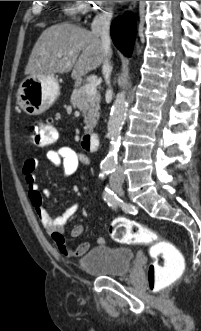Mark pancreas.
Here are the masks:
<instances>
[{
  "label": "pancreas",
  "instance_id": "1",
  "mask_svg": "<svg viewBox=\"0 0 201 331\" xmlns=\"http://www.w3.org/2000/svg\"><path fill=\"white\" fill-rule=\"evenodd\" d=\"M71 103L83 113L85 131L92 130L100 116V95L98 93L87 95L84 86H79L71 95Z\"/></svg>",
  "mask_w": 201,
  "mask_h": 331
}]
</instances>
